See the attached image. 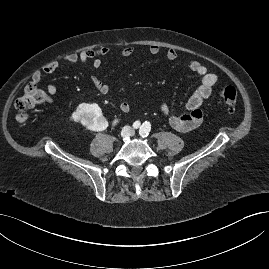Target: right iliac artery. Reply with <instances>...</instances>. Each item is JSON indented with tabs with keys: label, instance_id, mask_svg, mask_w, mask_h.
Instances as JSON below:
<instances>
[{
	"label": "right iliac artery",
	"instance_id": "82829eb1",
	"mask_svg": "<svg viewBox=\"0 0 269 269\" xmlns=\"http://www.w3.org/2000/svg\"><path fill=\"white\" fill-rule=\"evenodd\" d=\"M140 122L139 121H135L134 123H133V128L134 129H138L139 127H140Z\"/></svg>",
	"mask_w": 269,
	"mask_h": 269
}]
</instances>
